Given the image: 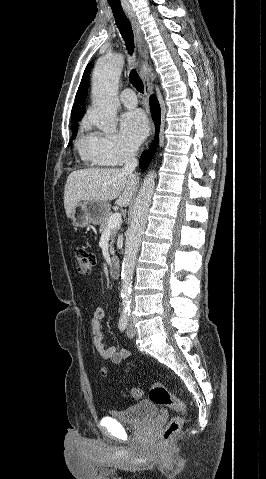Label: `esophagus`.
Returning a JSON list of instances; mask_svg holds the SVG:
<instances>
[{"instance_id":"esophagus-1","label":"esophagus","mask_w":266,"mask_h":479,"mask_svg":"<svg viewBox=\"0 0 266 479\" xmlns=\"http://www.w3.org/2000/svg\"><path fill=\"white\" fill-rule=\"evenodd\" d=\"M126 13L128 14V16L131 20L132 26H133L135 34H136V41H137V48H138L139 55L142 59L146 60L148 58V47H147L146 41L144 39V33H143L141 25L139 23L138 17L132 9L126 10ZM140 76H141V79H142L143 84H144L145 97L148 99L150 94L152 93V89H153L152 84L149 81L147 75L144 73L143 70L140 71ZM150 124H151V130H150L149 139H148L147 144H146L147 148L149 147L150 143L153 140L154 131H155L152 120H151Z\"/></svg>"}]
</instances>
